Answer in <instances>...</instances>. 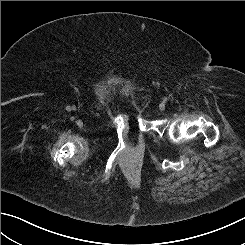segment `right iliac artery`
<instances>
[{"instance_id":"82829eb1","label":"right iliac artery","mask_w":245,"mask_h":245,"mask_svg":"<svg viewBox=\"0 0 245 245\" xmlns=\"http://www.w3.org/2000/svg\"><path fill=\"white\" fill-rule=\"evenodd\" d=\"M70 120L73 121V120H75V118L72 116V117L70 118Z\"/></svg>"}]
</instances>
